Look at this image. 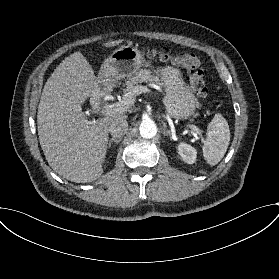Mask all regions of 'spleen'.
<instances>
[{"instance_id":"1","label":"spleen","mask_w":279,"mask_h":279,"mask_svg":"<svg viewBox=\"0 0 279 279\" xmlns=\"http://www.w3.org/2000/svg\"><path fill=\"white\" fill-rule=\"evenodd\" d=\"M230 142L228 122L221 114H216L207 127V138L203 145V156L211 166L224 157Z\"/></svg>"}]
</instances>
